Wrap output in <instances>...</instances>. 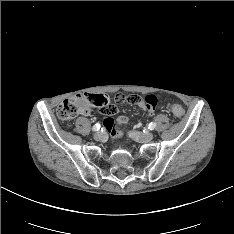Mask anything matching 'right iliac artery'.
<instances>
[{"label": "right iliac artery", "instance_id": "obj_1", "mask_svg": "<svg viewBox=\"0 0 234 234\" xmlns=\"http://www.w3.org/2000/svg\"><path fill=\"white\" fill-rule=\"evenodd\" d=\"M100 129V124H95L93 127H92V130L93 131H98Z\"/></svg>", "mask_w": 234, "mask_h": 234}]
</instances>
